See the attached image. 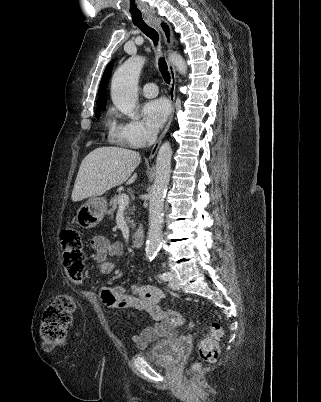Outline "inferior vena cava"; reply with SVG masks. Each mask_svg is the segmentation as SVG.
Wrapping results in <instances>:
<instances>
[{"label": "inferior vena cava", "mask_w": 321, "mask_h": 402, "mask_svg": "<svg viewBox=\"0 0 321 402\" xmlns=\"http://www.w3.org/2000/svg\"><path fill=\"white\" fill-rule=\"evenodd\" d=\"M157 139V133L155 131H149L147 135L148 145H152Z\"/></svg>", "instance_id": "obj_1"}]
</instances>
